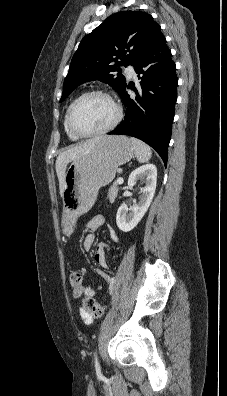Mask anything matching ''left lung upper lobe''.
I'll list each match as a JSON object with an SVG mask.
<instances>
[{
  "mask_svg": "<svg viewBox=\"0 0 227 396\" xmlns=\"http://www.w3.org/2000/svg\"><path fill=\"white\" fill-rule=\"evenodd\" d=\"M162 36L160 25L148 13L123 11L110 15L81 40L71 60L60 102L89 80L103 81L120 94L127 85L120 67L133 65Z\"/></svg>",
  "mask_w": 227,
  "mask_h": 396,
  "instance_id": "5c2ea615",
  "label": "left lung upper lobe"
}]
</instances>
